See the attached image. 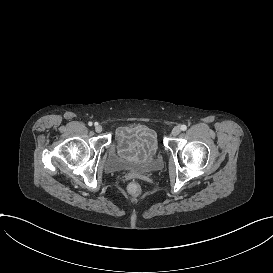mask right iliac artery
<instances>
[{
    "mask_svg": "<svg viewBox=\"0 0 273 273\" xmlns=\"http://www.w3.org/2000/svg\"><path fill=\"white\" fill-rule=\"evenodd\" d=\"M88 125H89V126H92V125H93V123H92V122H89V123H88Z\"/></svg>",
    "mask_w": 273,
    "mask_h": 273,
    "instance_id": "right-iliac-artery-1",
    "label": "right iliac artery"
}]
</instances>
